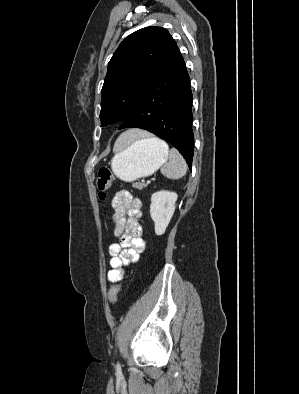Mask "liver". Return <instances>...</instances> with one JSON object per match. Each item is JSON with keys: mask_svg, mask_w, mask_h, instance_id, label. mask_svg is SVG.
<instances>
[{"mask_svg": "<svg viewBox=\"0 0 299 394\" xmlns=\"http://www.w3.org/2000/svg\"><path fill=\"white\" fill-rule=\"evenodd\" d=\"M148 135L149 134L145 131L138 130V129H131L122 135L121 143L128 144L135 139L143 138Z\"/></svg>", "mask_w": 299, "mask_h": 394, "instance_id": "liver-1", "label": "liver"}]
</instances>
